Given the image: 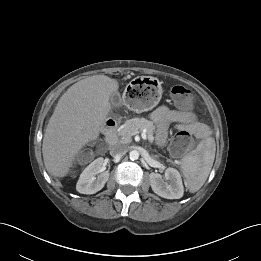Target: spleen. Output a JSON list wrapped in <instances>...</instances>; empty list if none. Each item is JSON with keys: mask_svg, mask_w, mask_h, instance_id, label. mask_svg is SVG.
<instances>
[{"mask_svg": "<svg viewBox=\"0 0 261 261\" xmlns=\"http://www.w3.org/2000/svg\"><path fill=\"white\" fill-rule=\"evenodd\" d=\"M216 145L211 137L202 140L197 148L184 156L181 161V170L186 188L197 192L207 180L213 166Z\"/></svg>", "mask_w": 261, "mask_h": 261, "instance_id": "3e777b00", "label": "spleen"}]
</instances>
